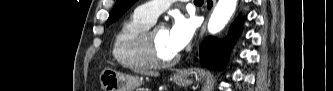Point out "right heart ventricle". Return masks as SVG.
Returning a JSON list of instances; mask_svg holds the SVG:
<instances>
[{"mask_svg": "<svg viewBox=\"0 0 333 91\" xmlns=\"http://www.w3.org/2000/svg\"><path fill=\"white\" fill-rule=\"evenodd\" d=\"M153 23L137 10L121 23L112 47L113 57L120 66L132 71H143L151 67L145 59L141 37Z\"/></svg>", "mask_w": 333, "mask_h": 91, "instance_id": "right-heart-ventricle-1", "label": "right heart ventricle"}]
</instances>
